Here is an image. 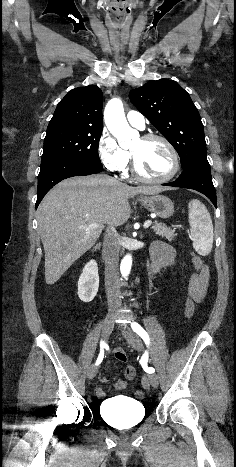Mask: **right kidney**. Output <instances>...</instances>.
<instances>
[{
  "instance_id": "obj_1",
  "label": "right kidney",
  "mask_w": 236,
  "mask_h": 467,
  "mask_svg": "<svg viewBox=\"0 0 236 467\" xmlns=\"http://www.w3.org/2000/svg\"><path fill=\"white\" fill-rule=\"evenodd\" d=\"M99 288L98 265L95 260H90L80 275L78 281V296L83 302L94 299Z\"/></svg>"
}]
</instances>
